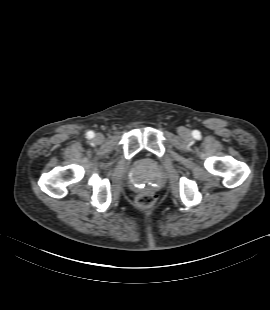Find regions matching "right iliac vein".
<instances>
[{"label":"right iliac vein","mask_w":270,"mask_h":310,"mask_svg":"<svg viewBox=\"0 0 270 310\" xmlns=\"http://www.w3.org/2000/svg\"><path fill=\"white\" fill-rule=\"evenodd\" d=\"M104 140V136L100 133L96 134L95 137H94V142L97 143V144H100L102 143Z\"/></svg>","instance_id":"63e3f726"}]
</instances>
